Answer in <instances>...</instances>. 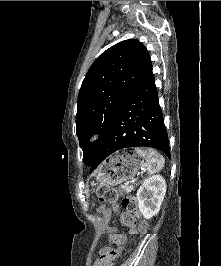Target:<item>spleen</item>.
Instances as JSON below:
<instances>
[{"label": "spleen", "instance_id": "3e777b00", "mask_svg": "<svg viewBox=\"0 0 221 266\" xmlns=\"http://www.w3.org/2000/svg\"><path fill=\"white\" fill-rule=\"evenodd\" d=\"M137 153L145 159V167L148 174H154L164 167V158L153 149H136Z\"/></svg>", "mask_w": 221, "mask_h": 266}]
</instances>
